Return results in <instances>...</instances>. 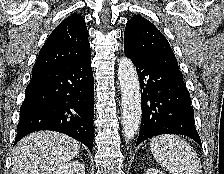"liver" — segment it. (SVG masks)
Masks as SVG:
<instances>
[{
	"mask_svg": "<svg viewBox=\"0 0 224 174\" xmlns=\"http://www.w3.org/2000/svg\"><path fill=\"white\" fill-rule=\"evenodd\" d=\"M79 150V142L65 134L31 133L13 148L11 174H51L77 156Z\"/></svg>",
	"mask_w": 224,
	"mask_h": 174,
	"instance_id": "liver-1",
	"label": "liver"
}]
</instances>
